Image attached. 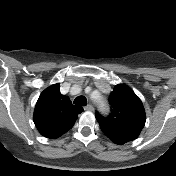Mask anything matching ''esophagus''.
Listing matches in <instances>:
<instances>
[{
  "label": "esophagus",
  "mask_w": 176,
  "mask_h": 176,
  "mask_svg": "<svg viewBox=\"0 0 176 176\" xmlns=\"http://www.w3.org/2000/svg\"><path fill=\"white\" fill-rule=\"evenodd\" d=\"M85 110L93 111V110H94V107H93L91 104H88V105L85 107Z\"/></svg>",
  "instance_id": "1"
}]
</instances>
